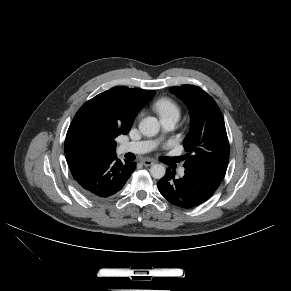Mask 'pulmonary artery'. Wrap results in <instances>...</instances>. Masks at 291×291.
Masks as SVG:
<instances>
[{
  "instance_id": "1",
  "label": "pulmonary artery",
  "mask_w": 291,
  "mask_h": 291,
  "mask_svg": "<svg viewBox=\"0 0 291 291\" xmlns=\"http://www.w3.org/2000/svg\"><path fill=\"white\" fill-rule=\"evenodd\" d=\"M178 121L177 117H168L161 119L163 128L166 131L172 130ZM157 140H144V141H137V142H127L120 146L121 152H132L136 154L147 153L154 149L157 145ZM180 174H184V168L180 169Z\"/></svg>"
}]
</instances>
